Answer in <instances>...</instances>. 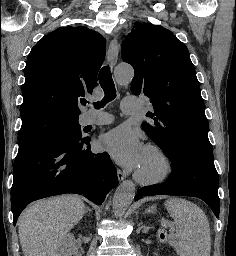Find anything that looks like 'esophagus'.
I'll use <instances>...</instances> for the list:
<instances>
[{"label":"esophagus","instance_id":"esophagus-1","mask_svg":"<svg viewBox=\"0 0 236 256\" xmlns=\"http://www.w3.org/2000/svg\"><path fill=\"white\" fill-rule=\"evenodd\" d=\"M118 54H119V48H118L117 38H113V40L110 42V45L108 48V55H107L108 61L112 67H114L117 63ZM117 177L119 181H123L126 175L118 168Z\"/></svg>","mask_w":236,"mask_h":256}]
</instances>
